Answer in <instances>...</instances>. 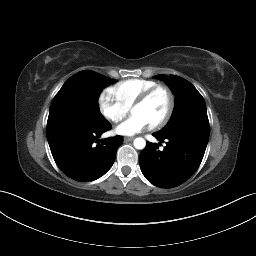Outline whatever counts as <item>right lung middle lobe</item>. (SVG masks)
Masks as SVG:
<instances>
[{"label":"right lung middle lobe","instance_id":"1","mask_svg":"<svg viewBox=\"0 0 256 256\" xmlns=\"http://www.w3.org/2000/svg\"><path fill=\"white\" fill-rule=\"evenodd\" d=\"M115 81L89 70L74 74L54 97L47 123L107 124L108 121L100 113L98 97L105 86Z\"/></svg>","mask_w":256,"mask_h":256}]
</instances>
